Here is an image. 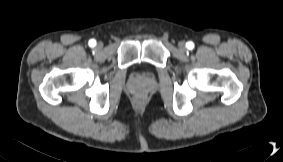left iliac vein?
I'll return each instance as SVG.
<instances>
[{"mask_svg":"<svg viewBox=\"0 0 283 162\" xmlns=\"http://www.w3.org/2000/svg\"><path fill=\"white\" fill-rule=\"evenodd\" d=\"M178 48H179V50H181V51H185V50H186L185 42L180 41V42L178 43Z\"/></svg>","mask_w":283,"mask_h":162,"instance_id":"obj_1","label":"left iliac vein"}]
</instances>
